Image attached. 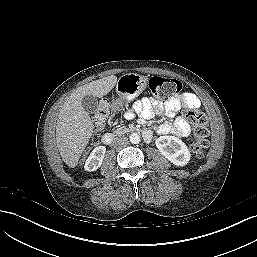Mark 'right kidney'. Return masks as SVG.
<instances>
[{
    "label": "right kidney",
    "instance_id": "1",
    "mask_svg": "<svg viewBox=\"0 0 257 257\" xmlns=\"http://www.w3.org/2000/svg\"><path fill=\"white\" fill-rule=\"evenodd\" d=\"M106 152L105 146H97L87 158L84 169L88 172L95 171L101 167Z\"/></svg>",
    "mask_w": 257,
    "mask_h": 257
}]
</instances>
